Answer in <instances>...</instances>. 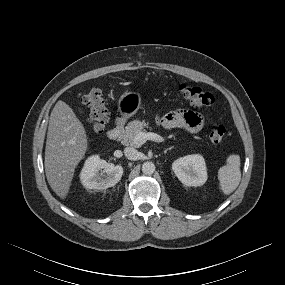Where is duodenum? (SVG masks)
<instances>
[{"instance_id": "1", "label": "duodenum", "mask_w": 285, "mask_h": 285, "mask_svg": "<svg viewBox=\"0 0 285 285\" xmlns=\"http://www.w3.org/2000/svg\"><path fill=\"white\" fill-rule=\"evenodd\" d=\"M123 126L124 121L121 119L118 120L115 125L107 131V137L111 140L118 139L122 134Z\"/></svg>"}]
</instances>
